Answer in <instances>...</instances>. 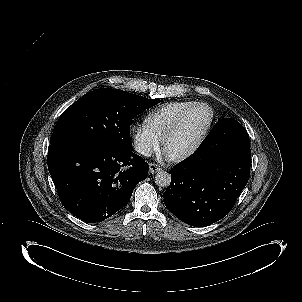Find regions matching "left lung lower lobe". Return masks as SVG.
<instances>
[{"mask_svg":"<svg viewBox=\"0 0 302 302\" xmlns=\"http://www.w3.org/2000/svg\"><path fill=\"white\" fill-rule=\"evenodd\" d=\"M216 148L200 150L171 169L164 203L188 225L203 227L225 217L248 182L250 148L232 154L218 153Z\"/></svg>","mask_w":302,"mask_h":302,"instance_id":"left-lung-lower-lobe-1","label":"left lung lower lobe"}]
</instances>
